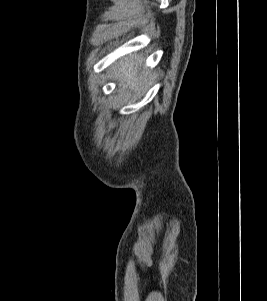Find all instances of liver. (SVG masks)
I'll use <instances>...</instances> for the list:
<instances>
[{"label": "liver", "instance_id": "obj_1", "mask_svg": "<svg viewBox=\"0 0 267 301\" xmlns=\"http://www.w3.org/2000/svg\"><path fill=\"white\" fill-rule=\"evenodd\" d=\"M117 77L124 87H129L131 90H137L139 85L142 84V77L138 73V65L128 60L119 63Z\"/></svg>", "mask_w": 267, "mask_h": 301}]
</instances>
